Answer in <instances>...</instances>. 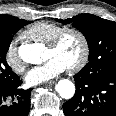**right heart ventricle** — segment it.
Returning <instances> with one entry per match:
<instances>
[{"mask_svg":"<svg viewBox=\"0 0 116 116\" xmlns=\"http://www.w3.org/2000/svg\"><path fill=\"white\" fill-rule=\"evenodd\" d=\"M64 26L49 22L40 21L32 24L25 30V35L31 40L48 44Z\"/></svg>","mask_w":116,"mask_h":116,"instance_id":"right-heart-ventricle-1","label":"right heart ventricle"}]
</instances>
